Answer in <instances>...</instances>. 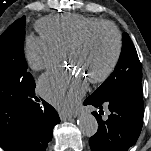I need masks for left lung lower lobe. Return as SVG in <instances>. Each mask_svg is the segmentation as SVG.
<instances>
[{"instance_id": "left-lung-lower-lobe-1", "label": "left lung lower lobe", "mask_w": 151, "mask_h": 151, "mask_svg": "<svg viewBox=\"0 0 151 151\" xmlns=\"http://www.w3.org/2000/svg\"><path fill=\"white\" fill-rule=\"evenodd\" d=\"M84 105L99 109L94 111L99 127L89 140L92 151H127L137 141L144 116L143 91L141 81H132L123 86L115 96L102 101L89 96ZM103 106H108L111 114L102 120Z\"/></svg>"}]
</instances>
